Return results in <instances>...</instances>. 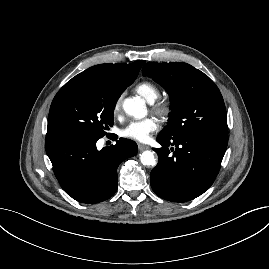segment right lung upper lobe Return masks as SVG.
Instances as JSON below:
<instances>
[{"instance_id": "obj_1", "label": "right lung upper lobe", "mask_w": 269, "mask_h": 269, "mask_svg": "<svg viewBox=\"0 0 269 269\" xmlns=\"http://www.w3.org/2000/svg\"><path fill=\"white\" fill-rule=\"evenodd\" d=\"M144 63V60H140L132 64L117 63L96 65L76 75L66 84L108 83L116 87H128L137 78ZM50 139L52 138H47L46 140Z\"/></svg>"}]
</instances>
